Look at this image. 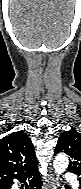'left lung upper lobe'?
<instances>
[{
	"instance_id": "1",
	"label": "left lung upper lobe",
	"mask_w": 81,
	"mask_h": 189,
	"mask_svg": "<svg viewBox=\"0 0 81 189\" xmlns=\"http://www.w3.org/2000/svg\"><path fill=\"white\" fill-rule=\"evenodd\" d=\"M64 152L70 156L68 171L76 174L81 181V133L74 129L64 131L58 139L55 153Z\"/></svg>"
}]
</instances>
